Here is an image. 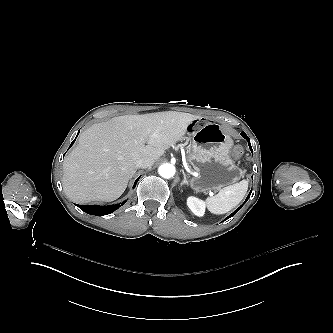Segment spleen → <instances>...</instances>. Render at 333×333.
I'll use <instances>...</instances> for the list:
<instances>
[{"label":"spleen","instance_id":"spleen-1","mask_svg":"<svg viewBox=\"0 0 333 333\" xmlns=\"http://www.w3.org/2000/svg\"><path fill=\"white\" fill-rule=\"evenodd\" d=\"M247 190V180L223 187L216 195L206 199L207 208L213 214H225L243 200Z\"/></svg>","mask_w":333,"mask_h":333}]
</instances>
